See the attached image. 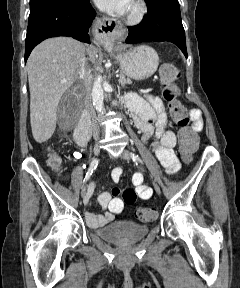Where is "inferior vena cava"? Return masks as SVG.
I'll list each match as a JSON object with an SVG mask.
<instances>
[{"label":"inferior vena cava","mask_w":240,"mask_h":288,"mask_svg":"<svg viewBox=\"0 0 240 288\" xmlns=\"http://www.w3.org/2000/svg\"><path fill=\"white\" fill-rule=\"evenodd\" d=\"M90 47V46H89ZM90 69L87 67V59L85 55L82 57L80 68H79V80L84 84L86 89L85 96V108L86 114L81 120V123H85L91 127V132L95 139L99 138V127L97 124H92V120L96 118L95 109L92 104L91 95H90Z\"/></svg>","instance_id":"obj_1"}]
</instances>
